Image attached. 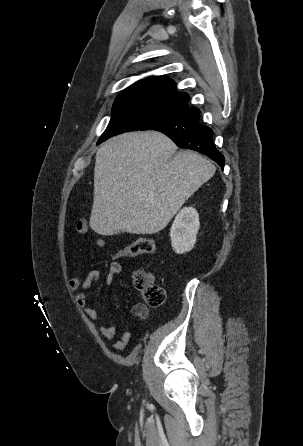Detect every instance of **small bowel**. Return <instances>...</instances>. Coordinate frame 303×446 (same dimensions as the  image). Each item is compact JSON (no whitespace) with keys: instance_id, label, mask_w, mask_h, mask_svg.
Instances as JSON below:
<instances>
[{"instance_id":"small-bowel-1","label":"small bowel","mask_w":303,"mask_h":446,"mask_svg":"<svg viewBox=\"0 0 303 446\" xmlns=\"http://www.w3.org/2000/svg\"><path fill=\"white\" fill-rule=\"evenodd\" d=\"M89 232V226L87 221L80 220L76 226V233L78 236H85ZM95 244L98 247H103L105 241L101 237L95 239ZM122 271V266L119 262H112L109 268V272L105 278V284L111 286L114 283L116 276H118ZM100 279V272L97 270L90 271L85 278L78 275L73 276L69 281V287L73 291H78L77 303L79 307L83 310L84 314L90 319L99 318V312L87 305L88 290L91 286L97 283ZM132 316L139 320H145L149 316V308L143 303H136L131 307L130 310ZM98 333L105 339L112 340L116 339L115 342L111 344L114 350L124 349L131 341L132 335L129 331L118 332L115 325H98Z\"/></svg>"}]
</instances>
